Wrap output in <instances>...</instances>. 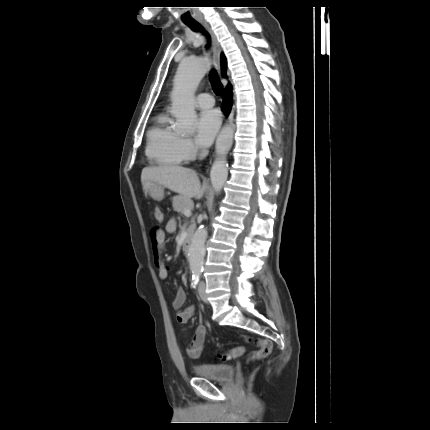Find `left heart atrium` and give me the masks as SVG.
<instances>
[{
    "label": "left heart atrium",
    "mask_w": 430,
    "mask_h": 430,
    "mask_svg": "<svg viewBox=\"0 0 430 430\" xmlns=\"http://www.w3.org/2000/svg\"><path fill=\"white\" fill-rule=\"evenodd\" d=\"M221 123L220 114L217 110H206L199 114L196 121V141L203 147L209 146Z\"/></svg>",
    "instance_id": "39dd6f15"
}]
</instances>
